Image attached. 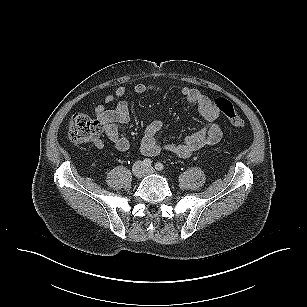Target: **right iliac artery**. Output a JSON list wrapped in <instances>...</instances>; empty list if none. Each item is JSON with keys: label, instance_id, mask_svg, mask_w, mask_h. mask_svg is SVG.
Returning a JSON list of instances; mask_svg holds the SVG:
<instances>
[{"label": "right iliac artery", "instance_id": "obj_1", "mask_svg": "<svg viewBox=\"0 0 307 307\" xmlns=\"http://www.w3.org/2000/svg\"><path fill=\"white\" fill-rule=\"evenodd\" d=\"M143 165H144V167H146V168L150 167V166L152 165L151 159H149V158L144 159V160H143Z\"/></svg>", "mask_w": 307, "mask_h": 307}]
</instances>
